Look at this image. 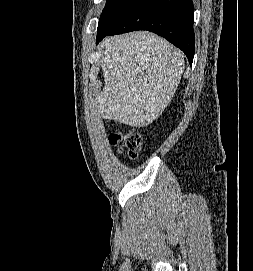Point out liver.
<instances>
[{"label":"liver","instance_id":"obj_1","mask_svg":"<svg viewBox=\"0 0 253 271\" xmlns=\"http://www.w3.org/2000/svg\"><path fill=\"white\" fill-rule=\"evenodd\" d=\"M103 91L98 110L108 120L145 127L171 102L184 71V55L165 39L144 31L100 43Z\"/></svg>","mask_w":253,"mask_h":271}]
</instances>
